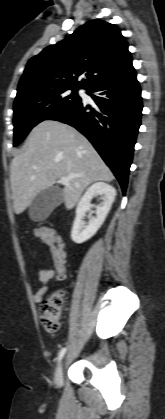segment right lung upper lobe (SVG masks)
Segmentation results:
<instances>
[{"mask_svg": "<svg viewBox=\"0 0 165 419\" xmlns=\"http://www.w3.org/2000/svg\"><path fill=\"white\" fill-rule=\"evenodd\" d=\"M131 62L128 44L119 28L102 20L88 21L68 38L29 60L15 101L49 89L87 90ZM82 74L86 79L78 82Z\"/></svg>", "mask_w": 165, "mask_h": 419, "instance_id": "obj_1", "label": "right lung upper lobe"}]
</instances>
